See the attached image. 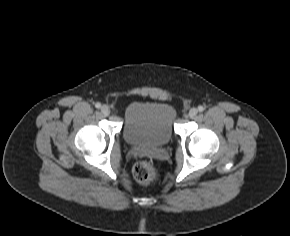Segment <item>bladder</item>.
<instances>
[{"label": "bladder", "mask_w": 290, "mask_h": 236, "mask_svg": "<svg viewBox=\"0 0 290 236\" xmlns=\"http://www.w3.org/2000/svg\"><path fill=\"white\" fill-rule=\"evenodd\" d=\"M175 115L166 103H132L125 112L124 139L132 146L162 147L172 138Z\"/></svg>", "instance_id": "31cf9c89"}]
</instances>
